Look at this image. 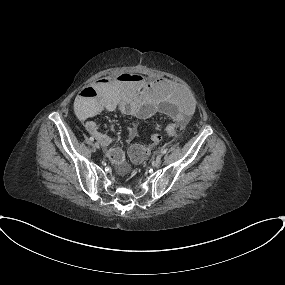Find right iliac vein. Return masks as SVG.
<instances>
[{
	"label": "right iliac vein",
	"mask_w": 285,
	"mask_h": 285,
	"mask_svg": "<svg viewBox=\"0 0 285 285\" xmlns=\"http://www.w3.org/2000/svg\"><path fill=\"white\" fill-rule=\"evenodd\" d=\"M94 146H95L97 149H99V148H100L99 142H95V143H94Z\"/></svg>",
	"instance_id": "1"
}]
</instances>
